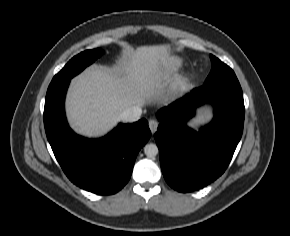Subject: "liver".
Segmentation results:
<instances>
[{"instance_id":"6515ba94","label":"liver","mask_w":290,"mask_h":236,"mask_svg":"<svg viewBox=\"0 0 290 236\" xmlns=\"http://www.w3.org/2000/svg\"><path fill=\"white\" fill-rule=\"evenodd\" d=\"M167 55L166 45L141 46L127 50L113 68L93 65L73 78L66 98L71 128L99 137L117 124L122 112L150 103L164 86L160 63Z\"/></svg>"}]
</instances>
